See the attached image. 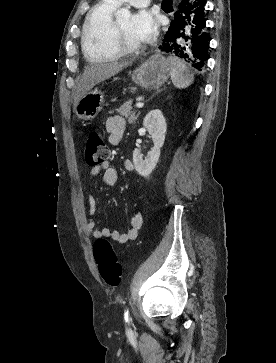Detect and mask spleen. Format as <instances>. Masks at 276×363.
<instances>
[{"label": "spleen", "mask_w": 276, "mask_h": 363, "mask_svg": "<svg viewBox=\"0 0 276 363\" xmlns=\"http://www.w3.org/2000/svg\"><path fill=\"white\" fill-rule=\"evenodd\" d=\"M169 62L171 66L170 76L173 85L178 89H184L190 86L194 81V74L185 63L176 57H170Z\"/></svg>", "instance_id": "spleen-1"}]
</instances>
